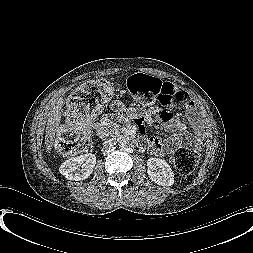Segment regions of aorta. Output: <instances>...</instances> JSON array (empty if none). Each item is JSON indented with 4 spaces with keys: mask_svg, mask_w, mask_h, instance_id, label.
I'll return each mask as SVG.
<instances>
[{
    "mask_svg": "<svg viewBox=\"0 0 253 253\" xmlns=\"http://www.w3.org/2000/svg\"><path fill=\"white\" fill-rule=\"evenodd\" d=\"M118 147H119V149H120V150H122V151H123V150H125V149H126V147H127V146H126V144H125V143H123V142H122V143H120V144H119V146H118Z\"/></svg>",
    "mask_w": 253,
    "mask_h": 253,
    "instance_id": "aorta-1",
    "label": "aorta"
}]
</instances>
